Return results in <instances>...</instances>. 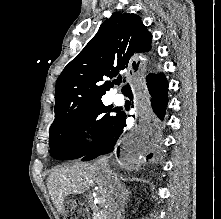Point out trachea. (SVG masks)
Returning <instances> with one entry per match:
<instances>
[{
    "label": "trachea",
    "mask_w": 221,
    "mask_h": 219,
    "mask_svg": "<svg viewBox=\"0 0 221 219\" xmlns=\"http://www.w3.org/2000/svg\"><path fill=\"white\" fill-rule=\"evenodd\" d=\"M121 81H118L117 84L119 85Z\"/></svg>",
    "instance_id": "1"
}]
</instances>
